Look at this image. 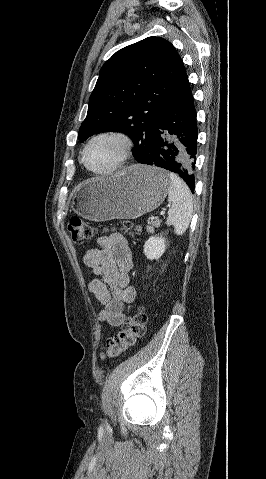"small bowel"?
<instances>
[{
    "label": "small bowel",
    "instance_id": "1",
    "mask_svg": "<svg viewBox=\"0 0 266 479\" xmlns=\"http://www.w3.org/2000/svg\"><path fill=\"white\" fill-rule=\"evenodd\" d=\"M83 262L95 276L101 277L88 284L102 306L98 321L114 327L122 325L125 304L136 297V290L129 285L133 263L126 239L120 233L99 236L96 247L83 255Z\"/></svg>",
    "mask_w": 266,
    "mask_h": 479
}]
</instances>
